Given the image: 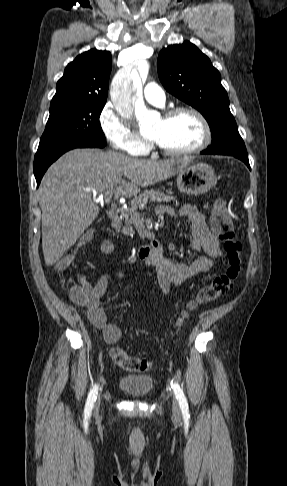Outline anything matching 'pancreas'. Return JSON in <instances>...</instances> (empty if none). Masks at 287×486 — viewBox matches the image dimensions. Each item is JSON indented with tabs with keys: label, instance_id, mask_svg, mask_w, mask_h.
Listing matches in <instances>:
<instances>
[{
	"label": "pancreas",
	"instance_id": "cf45deb5",
	"mask_svg": "<svg viewBox=\"0 0 287 486\" xmlns=\"http://www.w3.org/2000/svg\"><path fill=\"white\" fill-rule=\"evenodd\" d=\"M173 200V196L166 195L159 190H145L140 195L134 197V199L131 200V202L129 203L130 207L121 210V218L118 222L113 223V227L117 231H120V228L122 226V233L132 236L134 233L132 228L133 218L139 208H142L144 205H146L148 201L161 203L170 202ZM122 221H124V225H122Z\"/></svg>",
	"mask_w": 287,
	"mask_h": 486
}]
</instances>
